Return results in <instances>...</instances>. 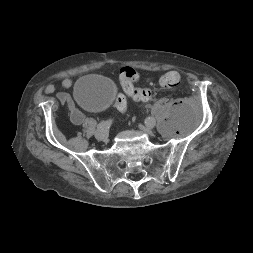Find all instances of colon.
<instances>
[{
	"label": "colon",
	"instance_id": "colon-1",
	"mask_svg": "<svg viewBox=\"0 0 253 253\" xmlns=\"http://www.w3.org/2000/svg\"><path fill=\"white\" fill-rule=\"evenodd\" d=\"M138 79L137 71L132 67H123L120 70V81L124 92L135 101H147L151 98V91L148 88H136L135 81ZM181 82L180 74L177 71H169L160 78V85L164 88H174ZM115 108L123 113L127 109V100L123 94L114 99Z\"/></svg>",
	"mask_w": 253,
	"mask_h": 253
}]
</instances>
